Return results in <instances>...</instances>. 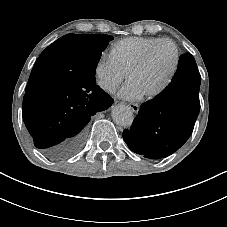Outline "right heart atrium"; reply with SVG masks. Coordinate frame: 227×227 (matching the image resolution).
<instances>
[{
  "label": "right heart atrium",
  "mask_w": 227,
  "mask_h": 227,
  "mask_svg": "<svg viewBox=\"0 0 227 227\" xmlns=\"http://www.w3.org/2000/svg\"><path fill=\"white\" fill-rule=\"evenodd\" d=\"M95 83L102 91L112 94L125 79V73L111 56L101 55L94 68Z\"/></svg>",
  "instance_id": "obj_1"
}]
</instances>
